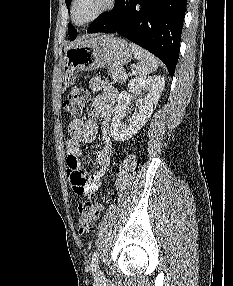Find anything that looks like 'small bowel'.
Here are the masks:
<instances>
[{
  "label": "small bowel",
  "mask_w": 233,
  "mask_h": 286,
  "mask_svg": "<svg viewBox=\"0 0 233 286\" xmlns=\"http://www.w3.org/2000/svg\"><path fill=\"white\" fill-rule=\"evenodd\" d=\"M89 87L96 97L87 119L77 118L68 126L66 166L72 190L78 196L94 194L102 185L112 159V139L109 132L111 118L118 97L117 90L100 78H93ZM99 122L102 129V148L94 153V165L87 170L83 147L95 140Z\"/></svg>",
  "instance_id": "obj_1"
}]
</instances>
